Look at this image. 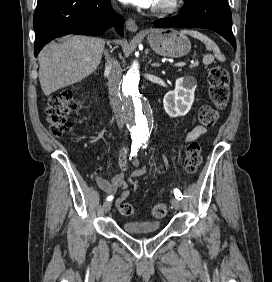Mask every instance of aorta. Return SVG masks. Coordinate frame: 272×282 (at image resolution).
Instances as JSON below:
<instances>
[{
  "label": "aorta",
  "instance_id": "1",
  "mask_svg": "<svg viewBox=\"0 0 272 282\" xmlns=\"http://www.w3.org/2000/svg\"><path fill=\"white\" fill-rule=\"evenodd\" d=\"M125 116L132 139L145 140L149 137L152 110L141 93L139 66L134 62L122 81Z\"/></svg>",
  "mask_w": 272,
  "mask_h": 282
}]
</instances>
